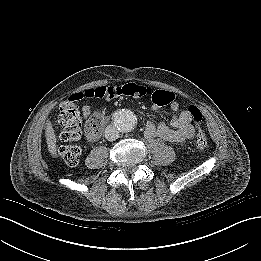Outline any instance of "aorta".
Instances as JSON below:
<instances>
[{"instance_id": "1", "label": "aorta", "mask_w": 261, "mask_h": 261, "mask_svg": "<svg viewBox=\"0 0 261 261\" xmlns=\"http://www.w3.org/2000/svg\"><path fill=\"white\" fill-rule=\"evenodd\" d=\"M114 122L119 131L127 133L135 128L137 116L130 109H121L116 113Z\"/></svg>"}]
</instances>
